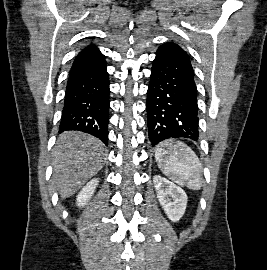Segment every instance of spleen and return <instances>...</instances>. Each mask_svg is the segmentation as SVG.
<instances>
[{
    "mask_svg": "<svg viewBox=\"0 0 267 270\" xmlns=\"http://www.w3.org/2000/svg\"><path fill=\"white\" fill-rule=\"evenodd\" d=\"M155 159L161 171L172 181L192 190L201 188V162L186 144L177 140L164 141L157 148Z\"/></svg>",
    "mask_w": 267,
    "mask_h": 270,
    "instance_id": "spleen-1",
    "label": "spleen"
}]
</instances>
